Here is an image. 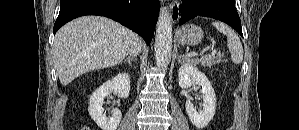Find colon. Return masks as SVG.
Returning a JSON list of instances; mask_svg holds the SVG:
<instances>
[{"mask_svg": "<svg viewBox=\"0 0 299 130\" xmlns=\"http://www.w3.org/2000/svg\"><path fill=\"white\" fill-rule=\"evenodd\" d=\"M81 130H89L88 128H82Z\"/></svg>", "mask_w": 299, "mask_h": 130, "instance_id": "5ec220e1", "label": "colon"}]
</instances>
